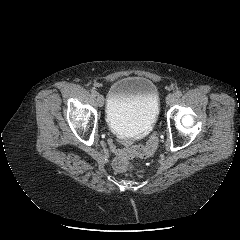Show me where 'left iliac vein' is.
Returning a JSON list of instances; mask_svg holds the SVG:
<instances>
[{"mask_svg":"<svg viewBox=\"0 0 240 240\" xmlns=\"http://www.w3.org/2000/svg\"><path fill=\"white\" fill-rule=\"evenodd\" d=\"M176 100V95L174 93H170L166 97V103L168 105H172Z\"/></svg>","mask_w":240,"mask_h":240,"instance_id":"4c4485c4","label":"left iliac vein"}]
</instances>
